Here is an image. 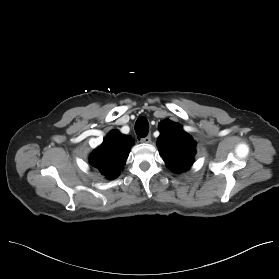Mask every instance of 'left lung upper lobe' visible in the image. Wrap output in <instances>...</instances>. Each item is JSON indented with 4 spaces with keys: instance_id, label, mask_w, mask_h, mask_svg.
Here are the masks:
<instances>
[{
    "instance_id": "obj_1",
    "label": "left lung upper lobe",
    "mask_w": 279,
    "mask_h": 279,
    "mask_svg": "<svg viewBox=\"0 0 279 279\" xmlns=\"http://www.w3.org/2000/svg\"><path fill=\"white\" fill-rule=\"evenodd\" d=\"M157 145L161 157L172 171L184 172L192 166L196 144L181 125L169 120L161 122Z\"/></svg>"
}]
</instances>
